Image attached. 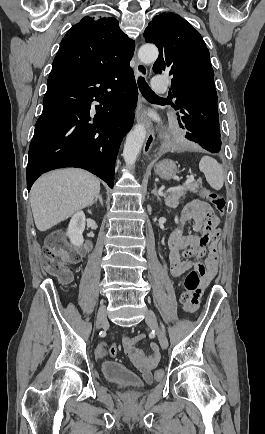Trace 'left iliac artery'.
Returning <instances> with one entry per match:
<instances>
[{
	"label": "left iliac artery",
	"mask_w": 265,
	"mask_h": 434,
	"mask_svg": "<svg viewBox=\"0 0 265 434\" xmlns=\"http://www.w3.org/2000/svg\"><path fill=\"white\" fill-rule=\"evenodd\" d=\"M161 326H162V329H163V331H165L164 325H163V324H161Z\"/></svg>",
	"instance_id": "obj_1"
}]
</instances>
